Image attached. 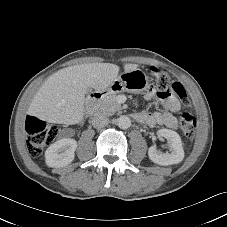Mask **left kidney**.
I'll list each match as a JSON object with an SVG mask.
<instances>
[{
  "label": "left kidney",
  "instance_id": "left-kidney-1",
  "mask_svg": "<svg viewBox=\"0 0 227 227\" xmlns=\"http://www.w3.org/2000/svg\"><path fill=\"white\" fill-rule=\"evenodd\" d=\"M158 136L164 137L169 144L170 153H163L155 146H151L148 150V156L151 161L158 165L178 164L184 158V150L179 134L173 130L162 128L157 131Z\"/></svg>",
  "mask_w": 227,
  "mask_h": 227
}]
</instances>
